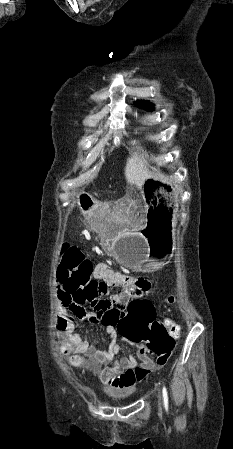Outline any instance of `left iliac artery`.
<instances>
[{
  "mask_svg": "<svg viewBox=\"0 0 233 449\" xmlns=\"http://www.w3.org/2000/svg\"><path fill=\"white\" fill-rule=\"evenodd\" d=\"M162 392H163V398H164V405H165V407H168V403H169L168 402V394H167V389L165 386L163 387Z\"/></svg>",
  "mask_w": 233,
  "mask_h": 449,
  "instance_id": "44dca946",
  "label": "left iliac artery"
}]
</instances>
